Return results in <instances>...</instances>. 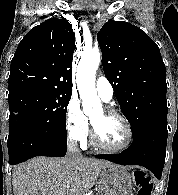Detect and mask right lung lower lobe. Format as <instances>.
Returning a JSON list of instances; mask_svg holds the SVG:
<instances>
[{
  "label": "right lung lower lobe",
  "instance_id": "obj_1",
  "mask_svg": "<svg viewBox=\"0 0 178 195\" xmlns=\"http://www.w3.org/2000/svg\"><path fill=\"white\" fill-rule=\"evenodd\" d=\"M9 164L35 156L63 157L67 149L66 127L58 124L13 125L8 136Z\"/></svg>",
  "mask_w": 178,
  "mask_h": 195
}]
</instances>
